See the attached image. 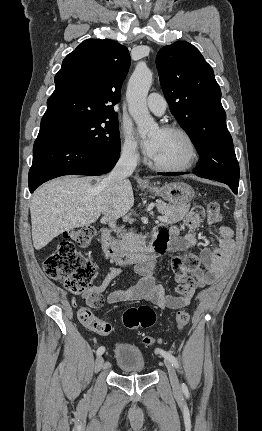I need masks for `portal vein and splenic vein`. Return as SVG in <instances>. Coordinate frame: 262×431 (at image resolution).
<instances>
[{
    "mask_svg": "<svg viewBox=\"0 0 262 431\" xmlns=\"http://www.w3.org/2000/svg\"><path fill=\"white\" fill-rule=\"evenodd\" d=\"M157 219H158V221H161V222L167 221V219L165 217H162V216H158Z\"/></svg>",
    "mask_w": 262,
    "mask_h": 431,
    "instance_id": "obj_1",
    "label": "portal vein and splenic vein"
}]
</instances>
